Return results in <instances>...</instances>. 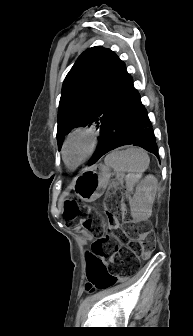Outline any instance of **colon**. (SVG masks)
I'll list each match as a JSON object with an SVG mask.
<instances>
[{
    "label": "colon",
    "mask_w": 193,
    "mask_h": 336,
    "mask_svg": "<svg viewBox=\"0 0 193 336\" xmlns=\"http://www.w3.org/2000/svg\"><path fill=\"white\" fill-rule=\"evenodd\" d=\"M64 213L71 224L81 220L87 231L99 236V239L91 245V265L88 272L89 281L98 289L109 288L118 281L117 275L106 269L104 260L120 255L125 262H133V257L119 245L118 231H121L129 241L137 243L145 256L156 248L154 233L146 224H129L126 221V209L117 202L110 203L106 209L107 223L102 219L88 216V209L76 200L66 202Z\"/></svg>",
    "instance_id": "obj_1"
}]
</instances>
